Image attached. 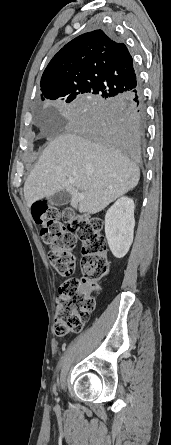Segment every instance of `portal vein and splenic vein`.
<instances>
[{
  "mask_svg": "<svg viewBox=\"0 0 171 445\" xmlns=\"http://www.w3.org/2000/svg\"><path fill=\"white\" fill-rule=\"evenodd\" d=\"M68 182H69L70 184H74V183H75V179H74V178H69V179H68ZM80 196H82V194H80Z\"/></svg>",
  "mask_w": 171,
  "mask_h": 445,
  "instance_id": "1",
  "label": "portal vein and splenic vein"
}]
</instances>
